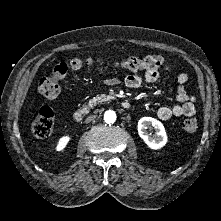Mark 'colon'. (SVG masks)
<instances>
[{"label":"colon","instance_id":"1","mask_svg":"<svg viewBox=\"0 0 221 221\" xmlns=\"http://www.w3.org/2000/svg\"><path fill=\"white\" fill-rule=\"evenodd\" d=\"M95 62L98 64H102L103 60H94L91 58L86 60L87 64H94ZM113 65L120 69L133 72H158L160 69L166 66V63L164 57L153 54L142 58L127 57L123 60L115 61ZM82 66L83 61L80 59H73L68 64H57L49 75L42 77L39 80L38 90L40 94L48 99L56 98L60 93V81L66 77L68 70L71 69L77 71L80 70ZM53 119V111L48 107H44L33 122V133L40 138L49 137L53 133ZM181 128L184 133L193 134L198 128L196 119L191 117L185 118L182 121Z\"/></svg>","mask_w":221,"mask_h":221}]
</instances>
